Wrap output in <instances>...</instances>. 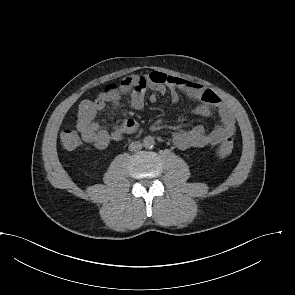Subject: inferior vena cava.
Returning a JSON list of instances; mask_svg holds the SVG:
<instances>
[{
	"label": "inferior vena cava",
	"instance_id": "1",
	"mask_svg": "<svg viewBox=\"0 0 295 295\" xmlns=\"http://www.w3.org/2000/svg\"><path fill=\"white\" fill-rule=\"evenodd\" d=\"M142 149V143L134 141L129 145V150L132 152L139 151Z\"/></svg>",
	"mask_w": 295,
	"mask_h": 295
}]
</instances>
